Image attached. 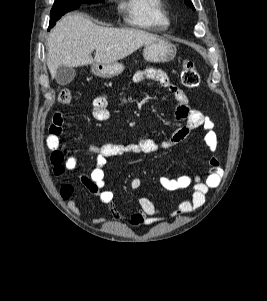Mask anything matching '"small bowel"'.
I'll use <instances>...</instances> for the list:
<instances>
[{
    "mask_svg": "<svg viewBox=\"0 0 267 301\" xmlns=\"http://www.w3.org/2000/svg\"><path fill=\"white\" fill-rule=\"evenodd\" d=\"M144 79H151L158 82L173 94L177 102L175 116L179 121L183 122V124L171 137L161 141L141 137L136 142L129 144L106 143L103 145L90 146V151L96 156L95 165L89 174L81 173L79 175V182L88 192L96 196L102 204L107 206L112 220L121 217V213L114 204L113 192L105 187V173L103 168L107 159L110 157L154 153L159 150H166L186 139L192 130L200 127L204 128V141L212 154L208 161V173L195 177L180 175L176 178L166 176L159 178L160 185L168 191L187 188H191L192 190L190 196L170 213V218L188 214L199 209L205 203V198L209 190L218 187L223 177V169L220 165V161L215 156L218 147V138L213 121L200 111L191 107L187 94L173 84L165 72L160 70H143L137 72L133 77L134 82H140ZM92 115L98 121H105L109 118L108 98L105 94H99L94 98L92 102ZM63 124L62 114L56 112L53 116L49 134L46 139V145L51 152L50 161L53 166V172L57 177H63L66 171H74L77 168L76 157L73 155L66 156L63 145L60 143ZM141 186L142 181L140 178L132 179L131 188L133 190H139ZM73 192L74 187L68 182H64L59 188L60 197L67 202L68 209L74 215L79 216L80 209L73 198ZM139 204L140 209L130 215L131 224L151 225L165 220V217L162 216L163 209L158 207L148 197L141 196L139 198Z\"/></svg>",
    "mask_w": 267,
    "mask_h": 301,
    "instance_id": "c3829d8e",
    "label": "small bowel"
}]
</instances>
